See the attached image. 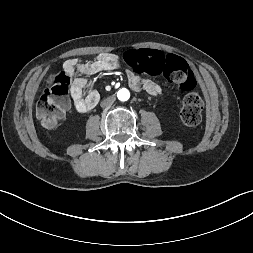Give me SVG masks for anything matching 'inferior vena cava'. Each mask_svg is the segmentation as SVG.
I'll list each match as a JSON object with an SVG mask.
<instances>
[{"instance_id": "1", "label": "inferior vena cava", "mask_w": 253, "mask_h": 253, "mask_svg": "<svg viewBox=\"0 0 253 253\" xmlns=\"http://www.w3.org/2000/svg\"><path fill=\"white\" fill-rule=\"evenodd\" d=\"M115 101L114 97H108L101 102V107H110Z\"/></svg>"}]
</instances>
